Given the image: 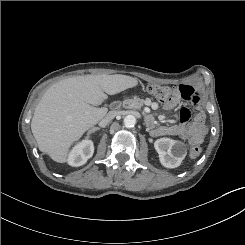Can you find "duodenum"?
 Wrapping results in <instances>:
<instances>
[{"label": "duodenum", "instance_id": "1", "mask_svg": "<svg viewBox=\"0 0 245 245\" xmlns=\"http://www.w3.org/2000/svg\"><path fill=\"white\" fill-rule=\"evenodd\" d=\"M117 106H118L117 103H112V104H111V107H112V108H116ZM146 123L149 125L150 123H152V119H151L150 117H147V118H146Z\"/></svg>", "mask_w": 245, "mask_h": 245}]
</instances>
